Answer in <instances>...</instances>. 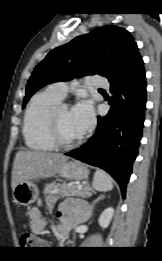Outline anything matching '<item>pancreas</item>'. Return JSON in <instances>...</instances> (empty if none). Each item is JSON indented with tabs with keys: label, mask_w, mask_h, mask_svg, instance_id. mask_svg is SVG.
<instances>
[{
	"label": "pancreas",
	"mask_w": 162,
	"mask_h": 261,
	"mask_svg": "<svg viewBox=\"0 0 162 261\" xmlns=\"http://www.w3.org/2000/svg\"><path fill=\"white\" fill-rule=\"evenodd\" d=\"M92 189L88 184L82 186L78 189L76 185H67L66 183H51L47 184L44 188V195L46 204L52 205L56 200L69 196H89L88 192Z\"/></svg>",
	"instance_id": "obj_1"
}]
</instances>
